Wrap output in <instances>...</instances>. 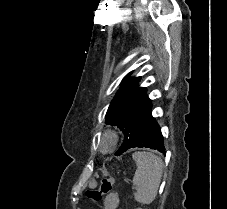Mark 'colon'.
<instances>
[{
    "mask_svg": "<svg viewBox=\"0 0 227 209\" xmlns=\"http://www.w3.org/2000/svg\"><path fill=\"white\" fill-rule=\"evenodd\" d=\"M114 184L112 178H107L101 181L100 187L98 189H90L85 192V197L91 202L97 203L100 200L101 194L109 192Z\"/></svg>",
    "mask_w": 227,
    "mask_h": 209,
    "instance_id": "colon-1",
    "label": "colon"
}]
</instances>
